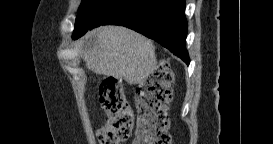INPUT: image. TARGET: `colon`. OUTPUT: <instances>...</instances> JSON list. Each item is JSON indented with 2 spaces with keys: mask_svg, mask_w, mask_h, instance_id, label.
<instances>
[{
  "mask_svg": "<svg viewBox=\"0 0 273 144\" xmlns=\"http://www.w3.org/2000/svg\"><path fill=\"white\" fill-rule=\"evenodd\" d=\"M173 72L168 63L157 66L136 90L138 111L136 144H170L168 105L172 99ZM105 124L98 130L101 144L126 142L132 132L133 113L123 85L106 78L98 86Z\"/></svg>",
  "mask_w": 273,
  "mask_h": 144,
  "instance_id": "5ec220e1",
  "label": "colon"
}]
</instances>
